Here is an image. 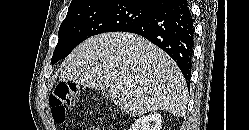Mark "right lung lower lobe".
Wrapping results in <instances>:
<instances>
[{
	"mask_svg": "<svg viewBox=\"0 0 249 130\" xmlns=\"http://www.w3.org/2000/svg\"><path fill=\"white\" fill-rule=\"evenodd\" d=\"M141 35L164 50L190 81L194 48L193 18L187 1L176 0L151 18L123 30Z\"/></svg>",
	"mask_w": 249,
	"mask_h": 130,
	"instance_id": "obj_1",
	"label": "right lung lower lobe"
}]
</instances>
